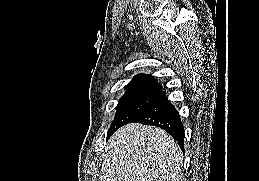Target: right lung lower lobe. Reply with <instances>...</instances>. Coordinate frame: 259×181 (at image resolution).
<instances>
[{
    "label": "right lung lower lobe",
    "mask_w": 259,
    "mask_h": 181,
    "mask_svg": "<svg viewBox=\"0 0 259 181\" xmlns=\"http://www.w3.org/2000/svg\"><path fill=\"white\" fill-rule=\"evenodd\" d=\"M131 122L152 125L164 129L178 142L182 150H184L183 124L179 113L168 101L162 87L154 100ZM110 136H108L107 139Z\"/></svg>",
    "instance_id": "1"
}]
</instances>
